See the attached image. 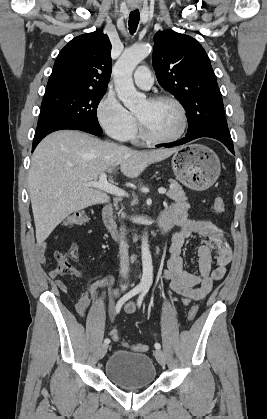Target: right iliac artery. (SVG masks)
Segmentation results:
<instances>
[{
    "label": "right iliac artery",
    "instance_id": "82829eb1",
    "mask_svg": "<svg viewBox=\"0 0 267 419\" xmlns=\"http://www.w3.org/2000/svg\"><path fill=\"white\" fill-rule=\"evenodd\" d=\"M142 287L141 286H136L135 288H133L132 290H130L128 293H126L123 297H121L120 299H119V301L117 302V304H116V313H119L120 312V310H121V308H122V306H123V304L128 300V299H130V298H132L133 296H135L136 294H138L139 292H141L142 291ZM104 342L106 343V344H108V343H110V339L109 338H106L105 340H104Z\"/></svg>",
    "mask_w": 267,
    "mask_h": 419
}]
</instances>
